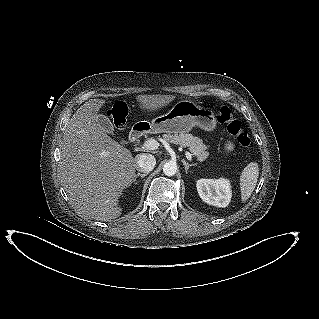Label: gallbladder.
Instances as JSON below:
<instances>
[{
  "instance_id": "obj_1",
  "label": "gallbladder",
  "mask_w": 319,
  "mask_h": 319,
  "mask_svg": "<svg viewBox=\"0 0 319 319\" xmlns=\"http://www.w3.org/2000/svg\"><path fill=\"white\" fill-rule=\"evenodd\" d=\"M97 124L108 134H113V123L105 115L99 114L96 118Z\"/></svg>"
}]
</instances>
